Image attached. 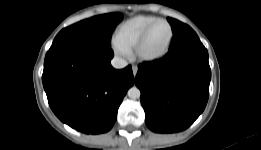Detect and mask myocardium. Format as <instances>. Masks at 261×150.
I'll list each match as a JSON object with an SVG mask.
<instances>
[{
  "instance_id": "f54148a6",
  "label": "myocardium",
  "mask_w": 261,
  "mask_h": 150,
  "mask_svg": "<svg viewBox=\"0 0 261 150\" xmlns=\"http://www.w3.org/2000/svg\"><path fill=\"white\" fill-rule=\"evenodd\" d=\"M160 22L167 24V26L169 27V38H168L167 44H166L164 50L161 51L160 53L154 54V55L147 54L144 51V47H145L147 38L149 36V33L151 32L153 27ZM173 38H174V30H173L171 23L166 19L158 18L157 20H155L151 24H149L145 28V30L142 32L141 36L139 37V39L134 47V53H135L136 58L139 61L145 62V63H154V62L162 60L169 53L172 42H173Z\"/></svg>"
}]
</instances>
